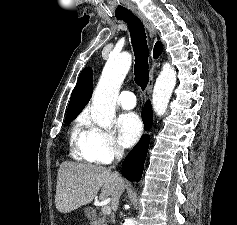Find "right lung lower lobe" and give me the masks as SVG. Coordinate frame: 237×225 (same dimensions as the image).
Segmentation results:
<instances>
[{"label": "right lung lower lobe", "instance_id": "98d812e1", "mask_svg": "<svg viewBox=\"0 0 237 225\" xmlns=\"http://www.w3.org/2000/svg\"><path fill=\"white\" fill-rule=\"evenodd\" d=\"M142 120L145 130L152 126L153 112L150 101H147L142 110ZM149 147V136L144 135L137 145L128 154L122 164V173L129 181H140L143 173L144 162Z\"/></svg>", "mask_w": 237, "mask_h": 225}]
</instances>
